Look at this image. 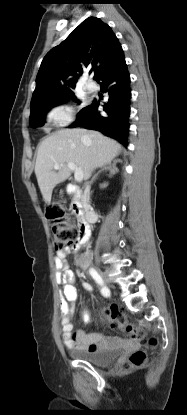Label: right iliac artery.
<instances>
[{
    "mask_svg": "<svg viewBox=\"0 0 187 415\" xmlns=\"http://www.w3.org/2000/svg\"><path fill=\"white\" fill-rule=\"evenodd\" d=\"M89 273L92 276V278L101 286L102 295L104 297L110 296V290L108 289V287H106L104 285V282H103L101 276L98 274V272L95 269L90 268Z\"/></svg>",
    "mask_w": 187,
    "mask_h": 415,
    "instance_id": "82829eb1",
    "label": "right iliac artery"
}]
</instances>
